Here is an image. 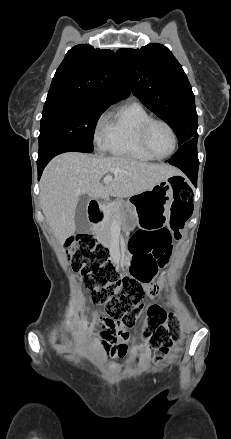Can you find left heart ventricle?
Wrapping results in <instances>:
<instances>
[{"label":"left heart ventricle","mask_w":231,"mask_h":439,"mask_svg":"<svg viewBox=\"0 0 231 439\" xmlns=\"http://www.w3.org/2000/svg\"><path fill=\"white\" fill-rule=\"evenodd\" d=\"M149 143L157 155H165L172 148V135L164 125L154 124L149 132Z\"/></svg>","instance_id":"b2bd125f"}]
</instances>
